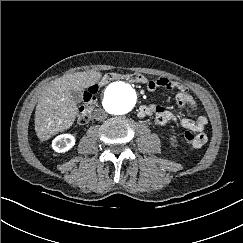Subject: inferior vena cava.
<instances>
[{"label": "inferior vena cava", "instance_id": "602c4592", "mask_svg": "<svg viewBox=\"0 0 243 243\" xmlns=\"http://www.w3.org/2000/svg\"><path fill=\"white\" fill-rule=\"evenodd\" d=\"M107 115V112L103 109H95L93 112V117L98 121L104 120L107 117Z\"/></svg>", "mask_w": 243, "mask_h": 243}]
</instances>
